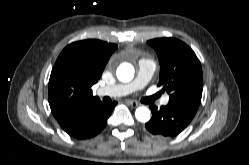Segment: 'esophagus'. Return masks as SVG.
I'll return each mask as SVG.
<instances>
[{
	"instance_id": "1",
	"label": "esophagus",
	"mask_w": 249,
	"mask_h": 165,
	"mask_svg": "<svg viewBox=\"0 0 249 165\" xmlns=\"http://www.w3.org/2000/svg\"><path fill=\"white\" fill-rule=\"evenodd\" d=\"M127 103H128L131 107H133V108H136V107H138V106L140 105L138 102H136V101H131V100L127 101Z\"/></svg>"
}]
</instances>
